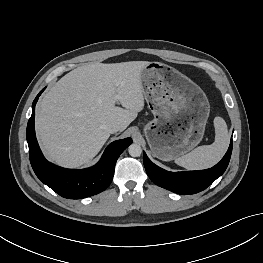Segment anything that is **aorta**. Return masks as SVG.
Returning a JSON list of instances; mask_svg holds the SVG:
<instances>
[{
  "label": "aorta",
  "instance_id": "aorta-1",
  "mask_svg": "<svg viewBox=\"0 0 263 263\" xmlns=\"http://www.w3.org/2000/svg\"><path fill=\"white\" fill-rule=\"evenodd\" d=\"M128 152L132 157H139L142 154V148L139 144H131L128 147Z\"/></svg>",
  "mask_w": 263,
  "mask_h": 263
}]
</instances>
